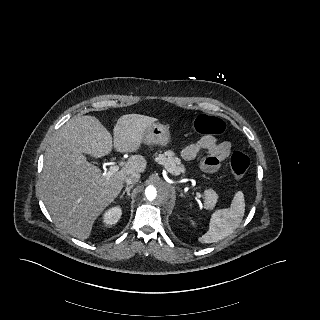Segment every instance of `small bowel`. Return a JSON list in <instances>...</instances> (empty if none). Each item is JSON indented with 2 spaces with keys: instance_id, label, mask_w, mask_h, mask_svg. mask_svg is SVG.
Returning <instances> with one entry per match:
<instances>
[{
  "instance_id": "1",
  "label": "small bowel",
  "mask_w": 320,
  "mask_h": 320,
  "mask_svg": "<svg viewBox=\"0 0 320 320\" xmlns=\"http://www.w3.org/2000/svg\"><path fill=\"white\" fill-rule=\"evenodd\" d=\"M202 151L207 155L201 161V169L209 174L216 173L221 163L224 162L231 153V145L226 141H219L214 135H206L197 142L184 147L181 157L190 161L195 159Z\"/></svg>"
}]
</instances>
